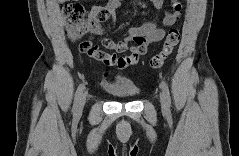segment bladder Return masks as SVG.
<instances>
[{
	"instance_id": "bladder-1",
	"label": "bladder",
	"mask_w": 239,
	"mask_h": 156,
	"mask_svg": "<svg viewBox=\"0 0 239 156\" xmlns=\"http://www.w3.org/2000/svg\"><path fill=\"white\" fill-rule=\"evenodd\" d=\"M105 91L112 96L122 98V99H135L137 98L141 91L138 87H128L126 89H113L106 88Z\"/></svg>"
}]
</instances>
